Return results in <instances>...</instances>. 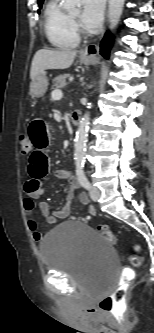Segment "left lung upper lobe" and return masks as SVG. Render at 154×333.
<instances>
[{
	"label": "left lung upper lobe",
	"mask_w": 154,
	"mask_h": 333,
	"mask_svg": "<svg viewBox=\"0 0 154 333\" xmlns=\"http://www.w3.org/2000/svg\"><path fill=\"white\" fill-rule=\"evenodd\" d=\"M44 0H38V4H39V7L41 8L42 7V3H43Z\"/></svg>",
	"instance_id": "1"
}]
</instances>
